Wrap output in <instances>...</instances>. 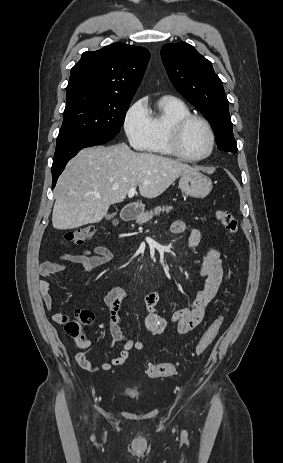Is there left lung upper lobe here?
<instances>
[{
    "mask_svg": "<svg viewBox=\"0 0 283 463\" xmlns=\"http://www.w3.org/2000/svg\"><path fill=\"white\" fill-rule=\"evenodd\" d=\"M161 57L176 90L210 122L218 148L235 153L229 102L211 62L185 42L164 45Z\"/></svg>",
    "mask_w": 283,
    "mask_h": 463,
    "instance_id": "1",
    "label": "left lung upper lobe"
}]
</instances>
